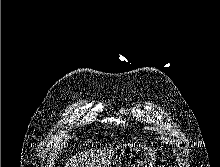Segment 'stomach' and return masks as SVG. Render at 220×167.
<instances>
[{
  "label": "stomach",
  "instance_id": "0dacf381",
  "mask_svg": "<svg viewBox=\"0 0 220 167\" xmlns=\"http://www.w3.org/2000/svg\"><path fill=\"white\" fill-rule=\"evenodd\" d=\"M156 151L136 144L119 146L106 167H152Z\"/></svg>",
  "mask_w": 220,
  "mask_h": 167
}]
</instances>
